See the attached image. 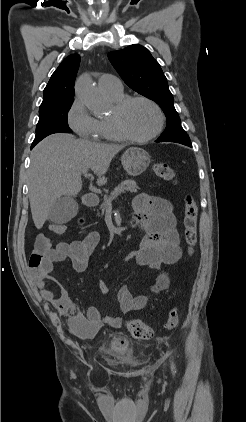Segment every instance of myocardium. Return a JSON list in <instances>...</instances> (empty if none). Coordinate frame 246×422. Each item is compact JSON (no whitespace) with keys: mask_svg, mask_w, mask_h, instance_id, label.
<instances>
[{"mask_svg":"<svg viewBox=\"0 0 246 422\" xmlns=\"http://www.w3.org/2000/svg\"><path fill=\"white\" fill-rule=\"evenodd\" d=\"M142 101L149 105H151L158 114V125L156 129L149 135L144 137H138L133 135L125 126L123 122V113L126 108L133 102ZM111 121L118 131V133L122 136L124 140L133 142V143H145L154 138H156L163 130L165 125V115L161 107L152 99L141 96V95H134V96H124L119 101L115 102L113 114L111 115Z\"/></svg>","mask_w":246,"mask_h":422,"instance_id":"obj_1","label":"myocardium"}]
</instances>
